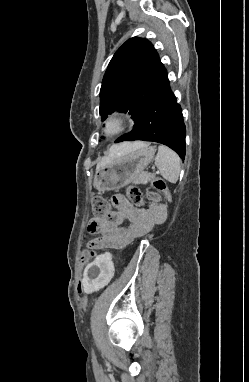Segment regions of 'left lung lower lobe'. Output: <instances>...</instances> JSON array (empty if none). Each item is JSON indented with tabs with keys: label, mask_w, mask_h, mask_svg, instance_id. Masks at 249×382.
Wrapping results in <instances>:
<instances>
[{
	"label": "left lung lower lobe",
	"mask_w": 249,
	"mask_h": 382,
	"mask_svg": "<svg viewBox=\"0 0 249 382\" xmlns=\"http://www.w3.org/2000/svg\"><path fill=\"white\" fill-rule=\"evenodd\" d=\"M185 134L182 110L166 77L133 130L115 143L134 140L158 142L170 147L184 159Z\"/></svg>",
	"instance_id": "obj_1"
}]
</instances>
